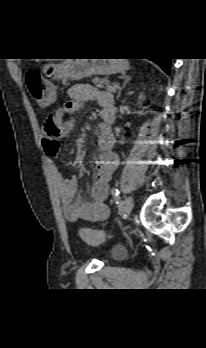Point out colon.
<instances>
[{"instance_id":"obj_1","label":"colon","mask_w":206,"mask_h":348,"mask_svg":"<svg viewBox=\"0 0 206 348\" xmlns=\"http://www.w3.org/2000/svg\"><path fill=\"white\" fill-rule=\"evenodd\" d=\"M25 82L32 98L37 102L42 100L43 92L50 88L49 85L45 84L41 73L35 69L27 71ZM80 237L86 243L98 244L104 240L105 234L97 230L84 228L80 231Z\"/></svg>"}]
</instances>
